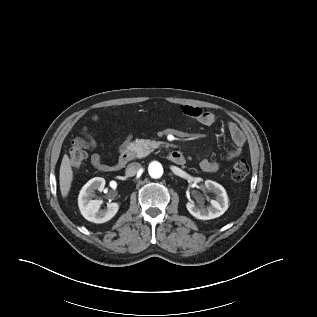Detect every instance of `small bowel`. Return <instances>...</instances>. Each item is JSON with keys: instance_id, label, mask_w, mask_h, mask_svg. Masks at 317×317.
<instances>
[{"instance_id": "c3829d8e", "label": "small bowel", "mask_w": 317, "mask_h": 317, "mask_svg": "<svg viewBox=\"0 0 317 317\" xmlns=\"http://www.w3.org/2000/svg\"><path fill=\"white\" fill-rule=\"evenodd\" d=\"M182 112L186 116L194 118L200 124L205 126L213 125L216 120V117L212 112L205 111L199 107L185 105L182 107ZM227 130L233 142V148L229 150L225 155V161H231L242 154L246 139L243 131L234 122L227 123ZM130 138L131 136L129 135L123 142L121 147H124L129 142ZM97 146V143L93 139L88 140V147L90 150H95ZM91 163L96 169L100 171H107V168L110 166L104 161L102 156L98 153H94L91 156ZM199 166L202 171L212 173L219 170L220 163L212 159H203L200 161Z\"/></svg>"}]
</instances>
